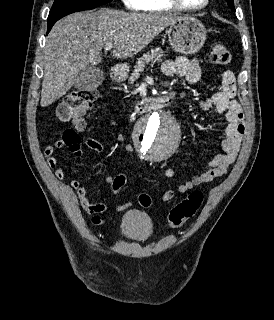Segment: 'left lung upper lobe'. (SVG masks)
I'll return each instance as SVG.
<instances>
[{
  "mask_svg": "<svg viewBox=\"0 0 274 320\" xmlns=\"http://www.w3.org/2000/svg\"><path fill=\"white\" fill-rule=\"evenodd\" d=\"M226 2L228 3V6L230 7V9L235 12L234 0H226Z\"/></svg>",
  "mask_w": 274,
  "mask_h": 320,
  "instance_id": "left-lung-upper-lobe-1",
  "label": "left lung upper lobe"
}]
</instances>
